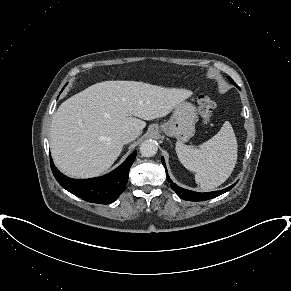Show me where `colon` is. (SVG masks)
<instances>
[{"instance_id": "obj_1", "label": "colon", "mask_w": 291, "mask_h": 291, "mask_svg": "<svg viewBox=\"0 0 291 291\" xmlns=\"http://www.w3.org/2000/svg\"><path fill=\"white\" fill-rule=\"evenodd\" d=\"M216 103L208 94H202L198 98V111L202 118L203 123L207 124L210 122L213 115Z\"/></svg>"}]
</instances>
